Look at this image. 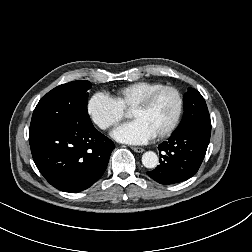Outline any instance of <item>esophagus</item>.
Here are the masks:
<instances>
[{"instance_id":"1","label":"esophagus","mask_w":252,"mask_h":252,"mask_svg":"<svg viewBox=\"0 0 252 252\" xmlns=\"http://www.w3.org/2000/svg\"><path fill=\"white\" fill-rule=\"evenodd\" d=\"M131 149L133 151L137 152V153H142L144 151V149L141 148V147H134V146H132Z\"/></svg>"}]
</instances>
